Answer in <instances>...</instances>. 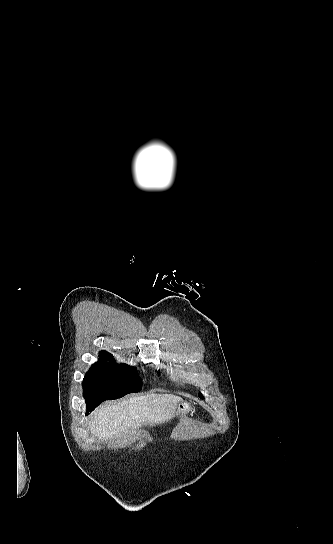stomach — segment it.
Segmentation results:
<instances>
[{
  "mask_svg": "<svg viewBox=\"0 0 333 544\" xmlns=\"http://www.w3.org/2000/svg\"><path fill=\"white\" fill-rule=\"evenodd\" d=\"M190 410H191V408H190L188 402L180 401V402L177 404V408H176V411H175V415H176V416H181V415H183L185 412H189Z\"/></svg>",
  "mask_w": 333,
  "mask_h": 544,
  "instance_id": "0dacf381",
  "label": "stomach"
}]
</instances>
